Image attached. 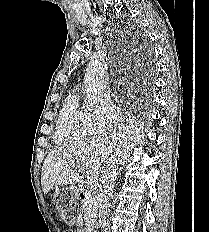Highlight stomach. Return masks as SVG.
<instances>
[{
    "instance_id": "0dacf381",
    "label": "stomach",
    "mask_w": 209,
    "mask_h": 232,
    "mask_svg": "<svg viewBox=\"0 0 209 232\" xmlns=\"http://www.w3.org/2000/svg\"><path fill=\"white\" fill-rule=\"evenodd\" d=\"M80 186H63L56 191L53 203H57L56 211L61 214H73L74 206H79L80 203Z\"/></svg>"
}]
</instances>
